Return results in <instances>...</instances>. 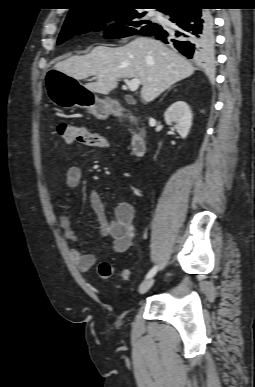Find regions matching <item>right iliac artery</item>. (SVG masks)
Returning <instances> with one entry per match:
<instances>
[{
	"mask_svg": "<svg viewBox=\"0 0 255 387\" xmlns=\"http://www.w3.org/2000/svg\"><path fill=\"white\" fill-rule=\"evenodd\" d=\"M158 266H154L146 275V279L151 278L157 272Z\"/></svg>",
	"mask_w": 255,
	"mask_h": 387,
	"instance_id": "obj_1",
	"label": "right iliac artery"
}]
</instances>
